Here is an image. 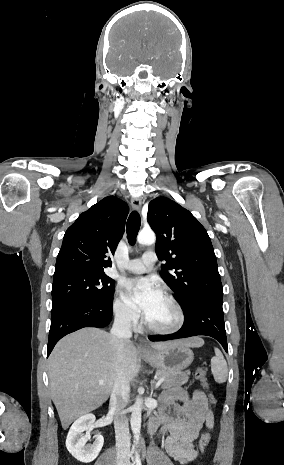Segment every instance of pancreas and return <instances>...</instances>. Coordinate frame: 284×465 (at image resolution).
Masks as SVG:
<instances>
[{"label": "pancreas", "instance_id": "cf45deb5", "mask_svg": "<svg viewBox=\"0 0 284 465\" xmlns=\"http://www.w3.org/2000/svg\"><path fill=\"white\" fill-rule=\"evenodd\" d=\"M190 371H158V379L164 381L161 385V389H170V387H181L185 385L189 379Z\"/></svg>", "mask_w": 284, "mask_h": 465}]
</instances>
